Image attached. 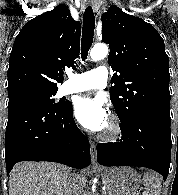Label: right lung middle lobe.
<instances>
[{"mask_svg":"<svg viewBox=\"0 0 178 195\" xmlns=\"http://www.w3.org/2000/svg\"><path fill=\"white\" fill-rule=\"evenodd\" d=\"M57 90H27L14 96H9L8 108L17 104H29L41 107H62L64 103H56L54 96Z\"/></svg>","mask_w":178,"mask_h":195,"instance_id":"right-lung-middle-lobe-1","label":"right lung middle lobe"}]
</instances>
